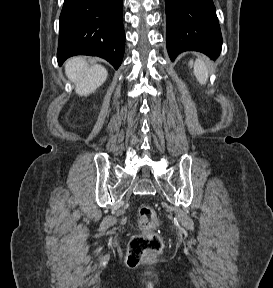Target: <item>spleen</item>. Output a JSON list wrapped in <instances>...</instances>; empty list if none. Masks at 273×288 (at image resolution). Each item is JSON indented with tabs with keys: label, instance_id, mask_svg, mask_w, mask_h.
<instances>
[{
	"label": "spleen",
	"instance_id": "3e777b00",
	"mask_svg": "<svg viewBox=\"0 0 273 288\" xmlns=\"http://www.w3.org/2000/svg\"><path fill=\"white\" fill-rule=\"evenodd\" d=\"M189 65L190 67H193L194 75L197 81L202 85L206 84L208 81L209 72L205 61L202 58H198L195 62L191 60Z\"/></svg>",
	"mask_w": 273,
	"mask_h": 288
}]
</instances>
